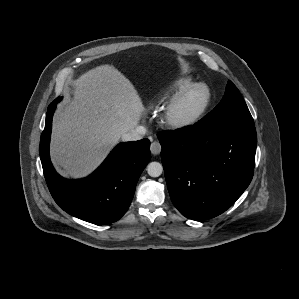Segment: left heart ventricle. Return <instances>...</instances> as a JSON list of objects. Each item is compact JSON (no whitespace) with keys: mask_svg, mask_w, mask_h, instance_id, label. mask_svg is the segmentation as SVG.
Returning <instances> with one entry per match:
<instances>
[{"mask_svg":"<svg viewBox=\"0 0 299 299\" xmlns=\"http://www.w3.org/2000/svg\"><path fill=\"white\" fill-rule=\"evenodd\" d=\"M205 93L203 90H196L188 95L185 101L182 103L179 114L182 116L192 114L195 112L203 103Z\"/></svg>","mask_w":299,"mask_h":299,"instance_id":"obj_1","label":"left heart ventricle"}]
</instances>
